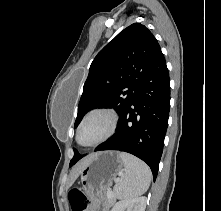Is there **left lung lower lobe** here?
<instances>
[{"instance_id": "left-lung-lower-lobe-1", "label": "left lung lower lobe", "mask_w": 221, "mask_h": 211, "mask_svg": "<svg viewBox=\"0 0 221 211\" xmlns=\"http://www.w3.org/2000/svg\"><path fill=\"white\" fill-rule=\"evenodd\" d=\"M170 109V80L165 58L160 52L127 110L117 132L95 151L119 150L131 153L158 173Z\"/></svg>"}]
</instances>
